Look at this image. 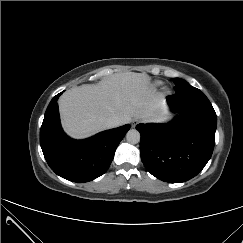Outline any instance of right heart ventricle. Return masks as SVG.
Listing matches in <instances>:
<instances>
[{
  "mask_svg": "<svg viewBox=\"0 0 243 243\" xmlns=\"http://www.w3.org/2000/svg\"><path fill=\"white\" fill-rule=\"evenodd\" d=\"M161 84H162L161 81H155L153 85L154 87H159Z\"/></svg>",
  "mask_w": 243,
  "mask_h": 243,
  "instance_id": "1",
  "label": "right heart ventricle"
}]
</instances>
